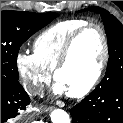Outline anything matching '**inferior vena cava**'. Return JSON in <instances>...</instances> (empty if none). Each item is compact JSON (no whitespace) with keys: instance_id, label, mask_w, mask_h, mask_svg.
<instances>
[{"instance_id":"602c4592","label":"inferior vena cava","mask_w":123,"mask_h":123,"mask_svg":"<svg viewBox=\"0 0 123 123\" xmlns=\"http://www.w3.org/2000/svg\"><path fill=\"white\" fill-rule=\"evenodd\" d=\"M26 91L30 94V95H39L43 93V88L40 85H28L25 87Z\"/></svg>"}]
</instances>
